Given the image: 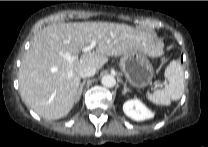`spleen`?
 Listing matches in <instances>:
<instances>
[{"mask_svg":"<svg viewBox=\"0 0 208 147\" xmlns=\"http://www.w3.org/2000/svg\"><path fill=\"white\" fill-rule=\"evenodd\" d=\"M164 76L169 84L162 90L154 91L148 99L156 105L169 106L171 100H179L184 92V73L181 64L176 60L170 62Z\"/></svg>","mask_w":208,"mask_h":147,"instance_id":"obj_1","label":"spleen"}]
</instances>
